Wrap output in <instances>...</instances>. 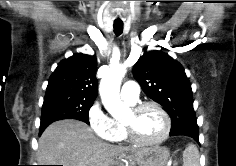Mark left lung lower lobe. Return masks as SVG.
Returning <instances> with one entry per match:
<instances>
[{
    "instance_id": "1",
    "label": "left lung lower lobe",
    "mask_w": 236,
    "mask_h": 166,
    "mask_svg": "<svg viewBox=\"0 0 236 166\" xmlns=\"http://www.w3.org/2000/svg\"><path fill=\"white\" fill-rule=\"evenodd\" d=\"M198 133L199 130L197 125V120L191 119L183 123H177L175 125H172L170 136H175V135L190 136L194 138L197 142H199Z\"/></svg>"
}]
</instances>
